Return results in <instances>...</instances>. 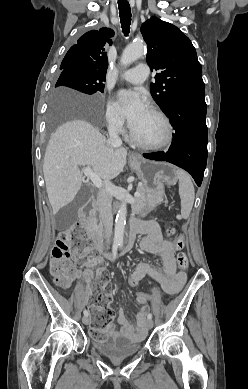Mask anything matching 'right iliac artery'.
<instances>
[{
	"label": "right iliac artery",
	"mask_w": 248,
	"mask_h": 389,
	"mask_svg": "<svg viewBox=\"0 0 248 389\" xmlns=\"http://www.w3.org/2000/svg\"><path fill=\"white\" fill-rule=\"evenodd\" d=\"M116 259V256L113 257V260ZM89 315V312L87 310H84V316H88Z\"/></svg>",
	"instance_id": "82829eb1"
}]
</instances>
